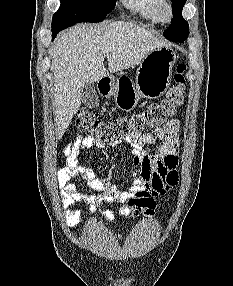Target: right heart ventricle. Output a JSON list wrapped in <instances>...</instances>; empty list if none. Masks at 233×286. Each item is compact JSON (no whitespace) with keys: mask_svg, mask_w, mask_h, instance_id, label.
Masks as SVG:
<instances>
[{"mask_svg":"<svg viewBox=\"0 0 233 286\" xmlns=\"http://www.w3.org/2000/svg\"><path fill=\"white\" fill-rule=\"evenodd\" d=\"M123 3L127 9L147 22L153 25L161 22L157 14L158 0H123Z\"/></svg>","mask_w":233,"mask_h":286,"instance_id":"1","label":"right heart ventricle"}]
</instances>
